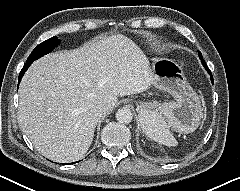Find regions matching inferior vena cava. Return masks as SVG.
Returning <instances> with one entry per match:
<instances>
[{"label": "inferior vena cava", "mask_w": 240, "mask_h": 191, "mask_svg": "<svg viewBox=\"0 0 240 191\" xmlns=\"http://www.w3.org/2000/svg\"><path fill=\"white\" fill-rule=\"evenodd\" d=\"M95 107L99 113H105L108 110L107 104L103 102L98 103Z\"/></svg>", "instance_id": "602c4592"}]
</instances>
